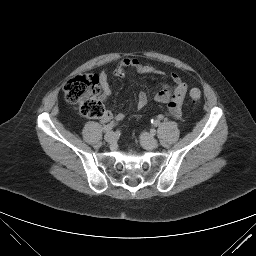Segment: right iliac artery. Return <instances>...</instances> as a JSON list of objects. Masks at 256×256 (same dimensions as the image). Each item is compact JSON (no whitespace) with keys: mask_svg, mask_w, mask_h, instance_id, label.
Here are the masks:
<instances>
[{"mask_svg":"<svg viewBox=\"0 0 256 256\" xmlns=\"http://www.w3.org/2000/svg\"><path fill=\"white\" fill-rule=\"evenodd\" d=\"M115 126H116V123H115V122H110L109 124H107V125L104 126L103 131L108 133V132L111 131Z\"/></svg>","mask_w":256,"mask_h":256,"instance_id":"82829eb1","label":"right iliac artery"}]
</instances>
